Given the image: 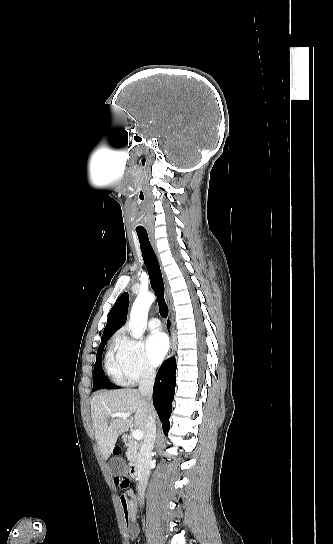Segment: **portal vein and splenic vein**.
Instances as JSON below:
<instances>
[{
    "instance_id": "portal-vein-and-splenic-vein-1",
    "label": "portal vein and splenic vein",
    "mask_w": 333,
    "mask_h": 544,
    "mask_svg": "<svg viewBox=\"0 0 333 544\" xmlns=\"http://www.w3.org/2000/svg\"><path fill=\"white\" fill-rule=\"evenodd\" d=\"M111 417L112 418H116V417H124V418H127V417H130V414L129 413H123V412H120V413H112L111 414ZM132 436L134 439L136 440H140L143 438L144 434H143V431L140 430V429H135L133 430L132 432Z\"/></svg>"
}]
</instances>
